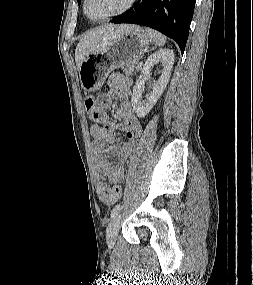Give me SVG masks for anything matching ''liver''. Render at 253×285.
I'll return each mask as SVG.
<instances>
[{"instance_id":"obj_1","label":"liver","mask_w":253,"mask_h":285,"mask_svg":"<svg viewBox=\"0 0 253 285\" xmlns=\"http://www.w3.org/2000/svg\"><path fill=\"white\" fill-rule=\"evenodd\" d=\"M134 25H105L86 32L80 39L75 50V62L79 70L83 59L101 49L113 39L133 28Z\"/></svg>"}]
</instances>
